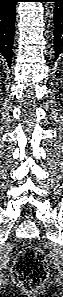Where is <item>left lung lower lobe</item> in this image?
<instances>
[{"label": "left lung lower lobe", "instance_id": "0a47b994", "mask_svg": "<svg viewBox=\"0 0 63 297\" xmlns=\"http://www.w3.org/2000/svg\"><path fill=\"white\" fill-rule=\"evenodd\" d=\"M55 2L54 7V49L55 60L63 53V0H46Z\"/></svg>", "mask_w": 63, "mask_h": 297}]
</instances>
